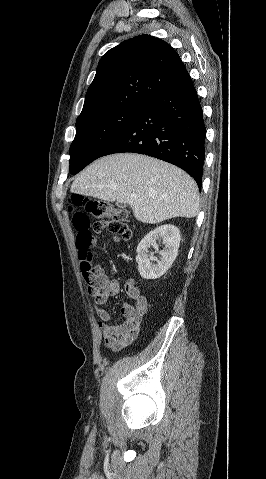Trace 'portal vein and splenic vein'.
Returning a JSON list of instances; mask_svg holds the SVG:
<instances>
[{"label":"portal vein and splenic vein","mask_w":266,"mask_h":479,"mask_svg":"<svg viewBox=\"0 0 266 479\" xmlns=\"http://www.w3.org/2000/svg\"><path fill=\"white\" fill-rule=\"evenodd\" d=\"M131 197H136V196L133 194V195H131Z\"/></svg>","instance_id":"obj_1"}]
</instances>
